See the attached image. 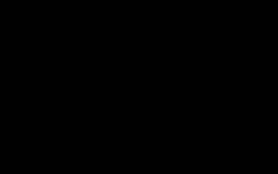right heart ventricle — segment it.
I'll return each instance as SVG.
<instances>
[{
	"mask_svg": "<svg viewBox=\"0 0 278 174\" xmlns=\"http://www.w3.org/2000/svg\"><path fill=\"white\" fill-rule=\"evenodd\" d=\"M149 45H139L138 47H136V49H134V58L136 59V60H141V56H143V54H145V53H143V52H147V51H145V50H147V48H149L148 47Z\"/></svg>",
	"mask_w": 278,
	"mask_h": 174,
	"instance_id": "obj_1",
	"label": "right heart ventricle"
}]
</instances>
